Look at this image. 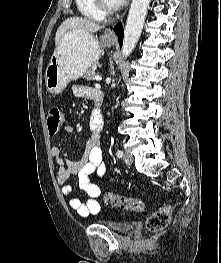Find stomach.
I'll use <instances>...</instances> for the list:
<instances>
[{"mask_svg": "<svg viewBox=\"0 0 221 263\" xmlns=\"http://www.w3.org/2000/svg\"><path fill=\"white\" fill-rule=\"evenodd\" d=\"M115 43L105 35L98 40L92 33L73 30L60 39L45 71V87L51 94L61 93L72 80L83 76L98 61L102 48Z\"/></svg>", "mask_w": 221, "mask_h": 263, "instance_id": "stomach-1", "label": "stomach"}]
</instances>
